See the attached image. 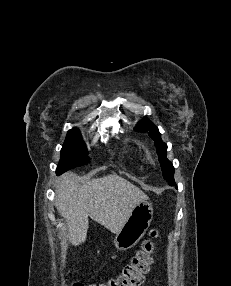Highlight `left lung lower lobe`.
<instances>
[{
  "mask_svg": "<svg viewBox=\"0 0 231 286\" xmlns=\"http://www.w3.org/2000/svg\"><path fill=\"white\" fill-rule=\"evenodd\" d=\"M171 185H175V182L173 181V182L171 183Z\"/></svg>",
  "mask_w": 231,
  "mask_h": 286,
  "instance_id": "0a47b994",
  "label": "left lung lower lobe"
}]
</instances>
